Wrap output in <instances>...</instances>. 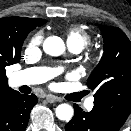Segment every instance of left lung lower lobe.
<instances>
[{"instance_id": "left-lung-lower-lobe-1", "label": "left lung lower lobe", "mask_w": 131, "mask_h": 131, "mask_svg": "<svg viewBox=\"0 0 131 131\" xmlns=\"http://www.w3.org/2000/svg\"><path fill=\"white\" fill-rule=\"evenodd\" d=\"M119 124L109 118L102 110L93 107L90 112H84L74 104V116L66 124V131H117Z\"/></svg>"}]
</instances>
